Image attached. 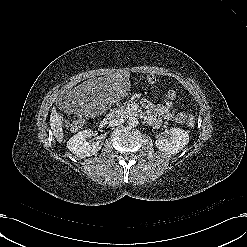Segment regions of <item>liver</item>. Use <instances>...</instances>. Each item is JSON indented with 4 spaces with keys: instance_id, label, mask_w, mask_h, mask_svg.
Instances as JSON below:
<instances>
[{
    "instance_id": "6515ba94",
    "label": "liver",
    "mask_w": 247,
    "mask_h": 247,
    "mask_svg": "<svg viewBox=\"0 0 247 247\" xmlns=\"http://www.w3.org/2000/svg\"><path fill=\"white\" fill-rule=\"evenodd\" d=\"M50 127L57 142L62 143L64 138L62 116L53 108L50 116Z\"/></svg>"
}]
</instances>
